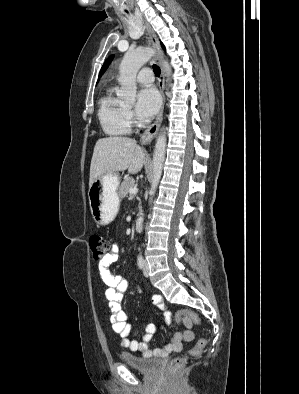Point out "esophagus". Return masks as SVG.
I'll return each instance as SVG.
<instances>
[{"label": "esophagus", "instance_id": "esophagus-1", "mask_svg": "<svg viewBox=\"0 0 299 394\" xmlns=\"http://www.w3.org/2000/svg\"><path fill=\"white\" fill-rule=\"evenodd\" d=\"M145 27H146V30L148 33L149 40L157 52L156 59L159 63L160 69H161V75H160V78L158 81V85H159L160 93L162 95V105H161L160 111H159L155 121L141 135L142 144H149L152 141V139L156 136V134L158 133L161 122H162L163 111H164V100H165V96H164L165 74H164V70L162 67V51H161L157 36H156L154 30L152 29V27L148 23H145Z\"/></svg>", "mask_w": 299, "mask_h": 394}]
</instances>
